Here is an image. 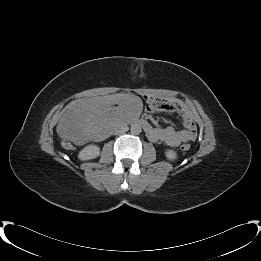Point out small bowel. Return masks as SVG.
<instances>
[{
	"label": "small bowel",
	"instance_id": "obj_1",
	"mask_svg": "<svg viewBox=\"0 0 261 261\" xmlns=\"http://www.w3.org/2000/svg\"><path fill=\"white\" fill-rule=\"evenodd\" d=\"M147 99L151 112L175 113L181 118L185 127L184 130H176L171 126L165 128L152 127V130L148 133L152 141H162L169 146L176 147L197 138V125L186 106L174 99L152 96H148Z\"/></svg>",
	"mask_w": 261,
	"mask_h": 261
}]
</instances>
